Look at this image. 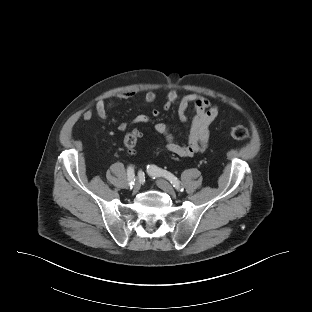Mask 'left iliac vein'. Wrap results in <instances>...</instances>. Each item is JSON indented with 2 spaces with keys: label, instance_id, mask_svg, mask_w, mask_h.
<instances>
[{
  "label": "left iliac vein",
  "instance_id": "4c4485c4",
  "mask_svg": "<svg viewBox=\"0 0 312 312\" xmlns=\"http://www.w3.org/2000/svg\"><path fill=\"white\" fill-rule=\"evenodd\" d=\"M157 186L162 189L163 191H165L166 193H168L171 196H175L176 191L175 189L172 187V185H170L166 180L164 179H158L156 181Z\"/></svg>",
  "mask_w": 312,
  "mask_h": 312
}]
</instances>
